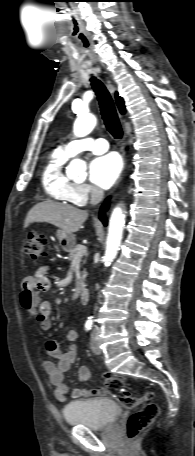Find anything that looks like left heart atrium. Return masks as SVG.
<instances>
[{
    "label": "left heart atrium",
    "mask_w": 195,
    "mask_h": 456,
    "mask_svg": "<svg viewBox=\"0 0 195 456\" xmlns=\"http://www.w3.org/2000/svg\"><path fill=\"white\" fill-rule=\"evenodd\" d=\"M122 164L119 156L108 153L94 158L89 165L91 181L100 188L111 187L120 175Z\"/></svg>",
    "instance_id": "39dd6f15"
}]
</instances>
